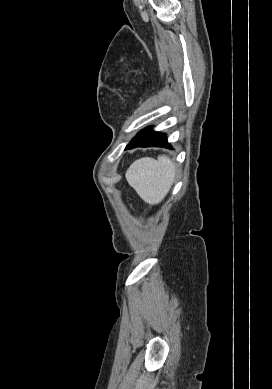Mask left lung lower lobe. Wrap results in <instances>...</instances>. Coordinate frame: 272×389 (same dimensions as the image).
<instances>
[{
  "label": "left lung lower lobe",
  "mask_w": 272,
  "mask_h": 389,
  "mask_svg": "<svg viewBox=\"0 0 272 389\" xmlns=\"http://www.w3.org/2000/svg\"><path fill=\"white\" fill-rule=\"evenodd\" d=\"M136 147H164L171 148L167 142L166 134L154 132L151 127L141 130L125 149Z\"/></svg>",
  "instance_id": "1"
}]
</instances>
